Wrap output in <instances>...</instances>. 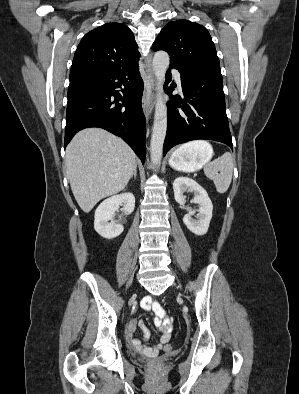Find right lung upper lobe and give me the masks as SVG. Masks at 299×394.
Segmentation results:
<instances>
[{
  "label": "right lung upper lobe",
  "mask_w": 299,
  "mask_h": 394,
  "mask_svg": "<svg viewBox=\"0 0 299 394\" xmlns=\"http://www.w3.org/2000/svg\"><path fill=\"white\" fill-rule=\"evenodd\" d=\"M140 54L131 30L124 24L107 23L87 33L79 43L70 80L137 66Z\"/></svg>",
  "instance_id": "obj_1"
}]
</instances>
